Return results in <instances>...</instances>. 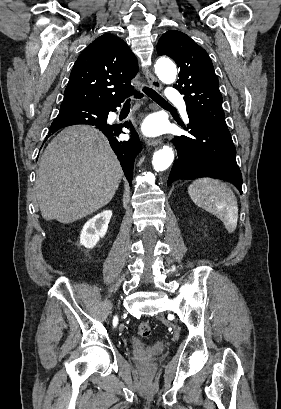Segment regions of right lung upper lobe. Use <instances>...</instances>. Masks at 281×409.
<instances>
[{
	"label": "right lung upper lobe",
	"mask_w": 281,
	"mask_h": 409,
	"mask_svg": "<svg viewBox=\"0 0 281 409\" xmlns=\"http://www.w3.org/2000/svg\"><path fill=\"white\" fill-rule=\"evenodd\" d=\"M138 72L137 59L119 37L104 34L78 57L64 92L61 108H91L123 102Z\"/></svg>",
	"instance_id": "cb5924a9"
}]
</instances>
